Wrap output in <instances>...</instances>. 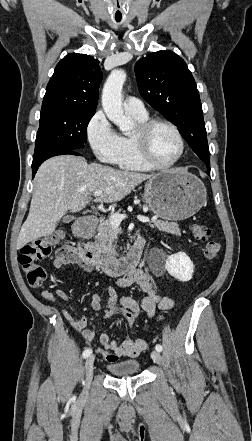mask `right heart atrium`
<instances>
[{"instance_id":"d8ad5b80","label":"right heart atrium","mask_w":252,"mask_h":441,"mask_svg":"<svg viewBox=\"0 0 252 441\" xmlns=\"http://www.w3.org/2000/svg\"><path fill=\"white\" fill-rule=\"evenodd\" d=\"M86 138L97 159L104 163H117L121 151V136L102 110L97 111L87 123Z\"/></svg>"}]
</instances>
